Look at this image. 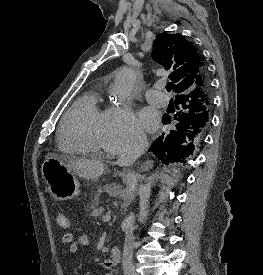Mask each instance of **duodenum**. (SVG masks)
<instances>
[{"label":"duodenum","instance_id":"1","mask_svg":"<svg viewBox=\"0 0 263 275\" xmlns=\"http://www.w3.org/2000/svg\"><path fill=\"white\" fill-rule=\"evenodd\" d=\"M121 261V251L118 248H113L110 252L109 258L104 260V266L108 269L113 268Z\"/></svg>","mask_w":263,"mask_h":275}]
</instances>
